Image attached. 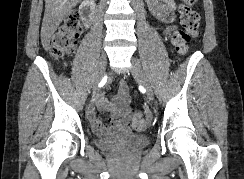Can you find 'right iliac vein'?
<instances>
[{"label":"right iliac vein","instance_id":"1","mask_svg":"<svg viewBox=\"0 0 244 179\" xmlns=\"http://www.w3.org/2000/svg\"><path fill=\"white\" fill-rule=\"evenodd\" d=\"M106 66H107V60H106V57L103 56L100 59V62L98 64V70H97L96 77H95V87L98 84V82L101 80V78L105 75Z\"/></svg>","mask_w":244,"mask_h":179}]
</instances>
